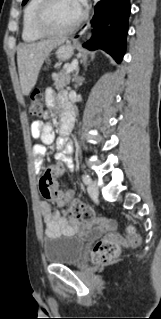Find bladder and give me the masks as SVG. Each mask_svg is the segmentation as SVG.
Wrapping results in <instances>:
<instances>
[{"instance_id": "bladder-1", "label": "bladder", "mask_w": 161, "mask_h": 319, "mask_svg": "<svg viewBox=\"0 0 161 319\" xmlns=\"http://www.w3.org/2000/svg\"><path fill=\"white\" fill-rule=\"evenodd\" d=\"M85 248V241L75 234L47 235L43 238V257L48 264H77Z\"/></svg>"}]
</instances>
